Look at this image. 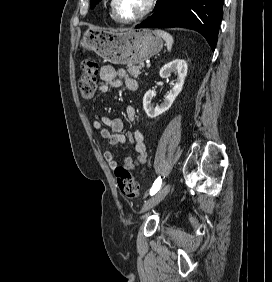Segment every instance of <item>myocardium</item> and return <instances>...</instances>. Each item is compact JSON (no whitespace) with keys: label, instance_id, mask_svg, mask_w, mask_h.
Returning a JSON list of instances; mask_svg holds the SVG:
<instances>
[{"label":"myocardium","instance_id":"myocardium-1","mask_svg":"<svg viewBox=\"0 0 272 282\" xmlns=\"http://www.w3.org/2000/svg\"><path fill=\"white\" fill-rule=\"evenodd\" d=\"M156 1L157 0H149L146 9L141 14H139L136 17L129 18V19L123 18L119 15L117 8H116L117 0H111L110 7H111V11L115 19H117L118 21L122 23L132 24V23H137L143 20L145 17H147L153 11L156 5Z\"/></svg>","mask_w":272,"mask_h":282}]
</instances>
